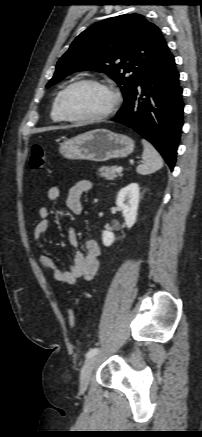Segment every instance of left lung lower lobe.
Instances as JSON below:
<instances>
[{
    "label": "left lung lower lobe",
    "mask_w": 202,
    "mask_h": 437,
    "mask_svg": "<svg viewBox=\"0 0 202 437\" xmlns=\"http://www.w3.org/2000/svg\"><path fill=\"white\" fill-rule=\"evenodd\" d=\"M183 108L179 72L167 49L144 75L113 120L150 141L172 170L183 126Z\"/></svg>",
    "instance_id": "obj_1"
}]
</instances>
